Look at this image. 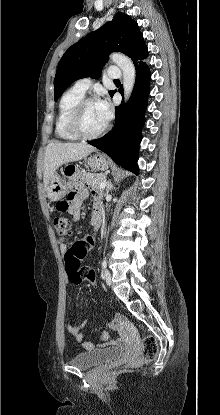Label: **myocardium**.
I'll return each mask as SVG.
<instances>
[{
	"instance_id": "myocardium-1",
	"label": "myocardium",
	"mask_w": 220,
	"mask_h": 415,
	"mask_svg": "<svg viewBox=\"0 0 220 415\" xmlns=\"http://www.w3.org/2000/svg\"><path fill=\"white\" fill-rule=\"evenodd\" d=\"M96 103L94 98H83L80 100L70 111L68 118H67V128L72 135L79 139L90 140L96 139L103 135L107 130V122L105 125L97 132L93 134L85 133L81 128V116L85 109V107L89 104Z\"/></svg>"
}]
</instances>
